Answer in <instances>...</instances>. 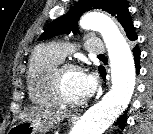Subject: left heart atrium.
Listing matches in <instances>:
<instances>
[{"mask_svg": "<svg viewBox=\"0 0 153 134\" xmlns=\"http://www.w3.org/2000/svg\"><path fill=\"white\" fill-rule=\"evenodd\" d=\"M96 82L93 75L82 73L81 90L84 98L90 97L95 90Z\"/></svg>", "mask_w": 153, "mask_h": 134, "instance_id": "1", "label": "left heart atrium"}]
</instances>
